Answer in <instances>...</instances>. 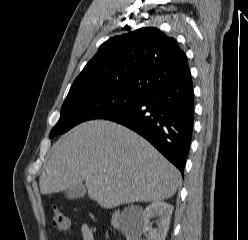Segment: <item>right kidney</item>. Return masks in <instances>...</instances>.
<instances>
[{
  "mask_svg": "<svg viewBox=\"0 0 248 240\" xmlns=\"http://www.w3.org/2000/svg\"><path fill=\"white\" fill-rule=\"evenodd\" d=\"M174 207L163 201H156L146 207L142 220L126 232V240H141L142 234L149 229L150 219L159 217L157 228L150 231V240H165Z\"/></svg>",
  "mask_w": 248,
  "mask_h": 240,
  "instance_id": "ca27d5eb",
  "label": "right kidney"
}]
</instances>
